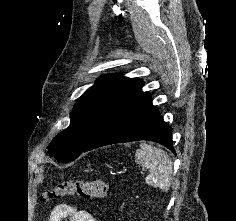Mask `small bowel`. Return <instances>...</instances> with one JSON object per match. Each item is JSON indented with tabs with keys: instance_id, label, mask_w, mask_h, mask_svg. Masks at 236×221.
I'll list each match as a JSON object with an SVG mask.
<instances>
[{
	"instance_id": "1",
	"label": "small bowel",
	"mask_w": 236,
	"mask_h": 221,
	"mask_svg": "<svg viewBox=\"0 0 236 221\" xmlns=\"http://www.w3.org/2000/svg\"><path fill=\"white\" fill-rule=\"evenodd\" d=\"M96 221L86 210L78 209L68 203H59L50 211L46 221Z\"/></svg>"
}]
</instances>
